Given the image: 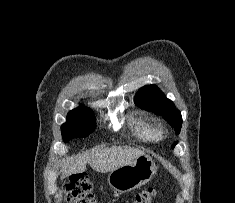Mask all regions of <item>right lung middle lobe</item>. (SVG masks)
Returning a JSON list of instances; mask_svg holds the SVG:
<instances>
[{
    "instance_id": "obj_1",
    "label": "right lung middle lobe",
    "mask_w": 235,
    "mask_h": 203,
    "mask_svg": "<svg viewBox=\"0 0 235 203\" xmlns=\"http://www.w3.org/2000/svg\"><path fill=\"white\" fill-rule=\"evenodd\" d=\"M95 117L92 110L81 106L69 112L67 122L61 126L64 142L73 138L87 137L95 130Z\"/></svg>"
}]
</instances>
